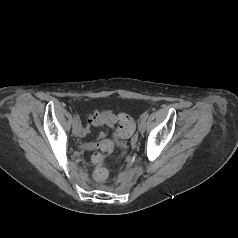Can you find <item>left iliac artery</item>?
Masks as SVG:
<instances>
[{
  "label": "left iliac artery",
  "instance_id": "1",
  "mask_svg": "<svg viewBox=\"0 0 238 238\" xmlns=\"http://www.w3.org/2000/svg\"><path fill=\"white\" fill-rule=\"evenodd\" d=\"M148 116H149V113H148V112H144V113L142 114V116H141V119L144 120V121H146L147 118H148Z\"/></svg>",
  "mask_w": 238,
  "mask_h": 238
}]
</instances>
